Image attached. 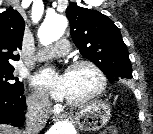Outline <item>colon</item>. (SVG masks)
Listing matches in <instances>:
<instances>
[{"instance_id": "obj_1", "label": "colon", "mask_w": 153, "mask_h": 134, "mask_svg": "<svg viewBox=\"0 0 153 134\" xmlns=\"http://www.w3.org/2000/svg\"><path fill=\"white\" fill-rule=\"evenodd\" d=\"M102 134H116L113 128H107Z\"/></svg>"}]
</instances>
